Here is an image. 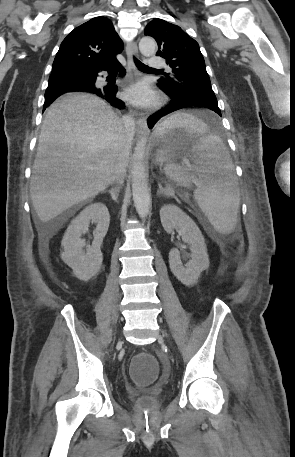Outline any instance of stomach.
<instances>
[{"label": "stomach", "mask_w": 295, "mask_h": 457, "mask_svg": "<svg viewBox=\"0 0 295 457\" xmlns=\"http://www.w3.org/2000/svg\"><path fill=\"white\" fill-rule=\"evenodd\" d=\"M156 137L160 150L155 155V161L162 165L164 163H172L177 156L178 150L198 144L203 135L198 132L188 131L183 127H175L162 133L156 130Z\"/></svg>", "instance_id": "stomach-1"}]
</instances>
